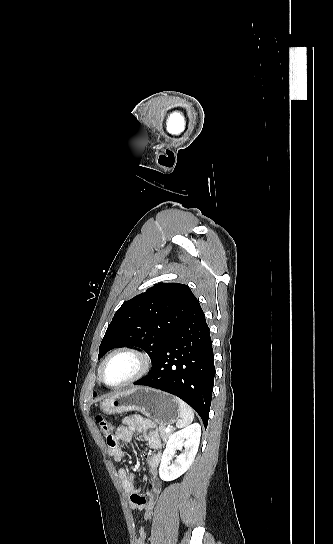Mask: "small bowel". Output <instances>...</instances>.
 Returning a JSON list of instances; mask_svg holds the SVG:
<instances>
[{
  "mask_svg": "<svg viewBox=\"0 0 333 544\" xmlns=\"http://www.w3.org/2000/svg\"><path fill=\"white\" fill-rule=\"evenodd\" d=\"M140 434L145 439L147 445L154 452H144L150 473V489L142 493L141 489L135 485V476L125 468L118 470V476L124 491L129 497L130 505L133 509L143 511L144 518L151 520L156 498L161 492L162 483L158 476V468L161 462V440L156 432L155 423L139 415H130L124 418L123 425L118 427L114 434L107 439V448L113 459L120 463L123 459L122 444L128 443L132 435ZM136 544L146 543V530L140 527L136 537Z\"/></svg>",
  "mask_w": 333,
  "mask_h": 544,
  "instance_id": "small-bowel-1",
  "label": "small bowel"
}]
</instances>
